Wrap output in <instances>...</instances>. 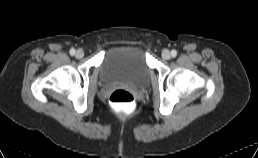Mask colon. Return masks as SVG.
Segmentation results:
<instances>
[{"mask_svg": "<svg viewBox=\"0 0 258 158\" xmlns=\"http://www.w3.org/2000/svg\"><path fill=\"white\" fill-rule=\"evenodd\" d=\"M110 105L124 113L131 112L135 105V98L133 94L125 89H117L110 95Z\"/></svg>", "mask_w": 258, "mask_h": 158, "instance_id": "1", "label": "colon"}]
</instances>
